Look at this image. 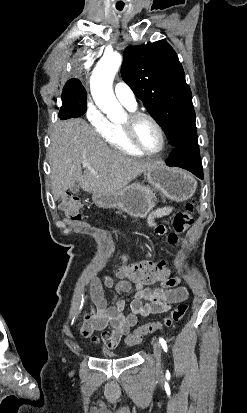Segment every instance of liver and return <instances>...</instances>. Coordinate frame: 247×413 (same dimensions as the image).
<instances>
[{
	"instance_id": "liver-1",
	"label": "liver",
	"mask_w": 247,
	"mask_h": 413,
	"mask_svg": "<svg viewBox=\"0 0 247 413\" xmlns=\"http://www.w3.org/2000/svg\"><path fill=\"white\" fill-rule=\"evenodd\" d=\"M49 160L54 200L75 182L87 192L123 190L152 164L114 150L83 118L56 122L51 134ZM82 162H90L89 166H84V172Z\"/></svg>"
}]
</instances>
